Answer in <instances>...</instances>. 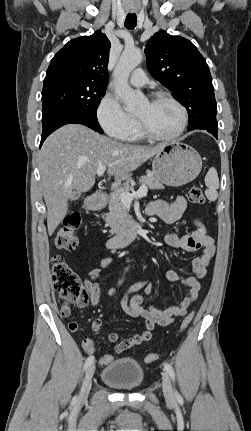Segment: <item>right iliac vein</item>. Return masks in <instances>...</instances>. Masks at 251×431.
I'll list each match as a JSON object with an SVG mask.
<instances>
[{"instance_id":"63e3f726","label":"right iliac vein","mask_w":251,"mask_h":431,"mask_svg":"<svg viewBox=\"0 0 251 431\" xmlns=\"http://www.w3.org/2000/svg\"><path fill=\"white\" fill-rule=\"evenodd\" d=\"M94 371H95V366L91 365L88 370L86 371L84 380H83V384H82V388H81V392H80V396H79V401L83 402L87 399L88 394L90 392L91 386H92V378L94 375Z\"/></svg>"}]
</instances>
